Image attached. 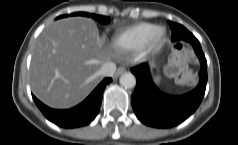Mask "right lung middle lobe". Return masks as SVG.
Masks as SVG:
<instances>
[{
  "label": "right lung middle lobe",
  "mask_w": 238,
  "mask_h": 145,
  "mask_svg": "<svg viewBox=\"0 0 238 145\" xmlns=\"http://www.w3.org/2000/svg\"><path fill=\"white\" fill-rule=\"evenodd\" d=\"M71 15L90 16V14L86 13V12H77V13H72ZM66 16L67 15H61V16L57 17V19L63 18V17H66ZM92 17L94 19H96L97 21H99L100 23H103V24H107L110 21V19L108 17L101 16V15L92 14Z\"/></svg>",
  "instance_id": "1"
}]
</instances>
